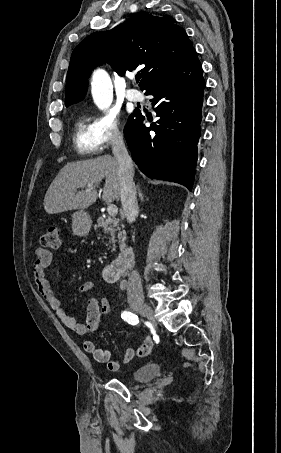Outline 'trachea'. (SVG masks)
I'll use <instances>...</instances> for the list:
<instances>
[{
  "label": "trachea",
  "instance_id": "1",
  "mask_svg": "<svg viewBox=\"0 0 281 453\" xmlns=\"http://www.w3.org/2000/svg\"><path fill=\"white\" fill-rule=\"evenodd\" d=\"M139 80H140V76H137L136 77V82L139 83Z\"/></svg>",
  "mask_w": 281,
  "mask_h": 453
}]
</instances>
